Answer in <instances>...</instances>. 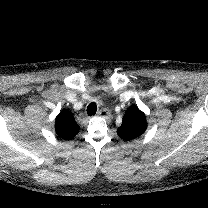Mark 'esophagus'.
Instances as JSON below:
<instances>
[{
    "label": "esophagus",
    "instance_id": "esophagus-1",
    "mask_svg": "<svg viewBox=\"0 0 208 208\" xmlns=\"http://www.w3.org/2000/svg\"><path fill=\"white\" fill-rule=\"evenodd\" d=\"M98 116L103 117V118L109 117V116H110L109 110L106 109V108L101 109V110L98 112Z\"/></svg>",
    "mask_w": 208,
    "mask_h": 208
}]
</instances>
